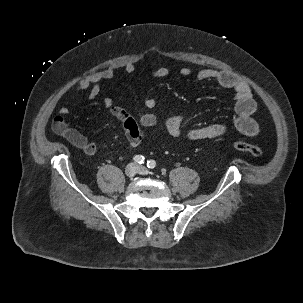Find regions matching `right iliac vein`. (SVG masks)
I'll return each mask as SVG.
<instances>
[{
    "label": "right iliac vein",
    "instance_id": "63e3f726",
    "mask_svg": "<svg viewBox=\"0 0 303 303\" xmlns=\"http://www.w3.org/2000/svg\"><path fill=\"white\" fill-rule=\"evenodd\" d=\"M137 173V167L134 163H130L125 168V174L127 177L132 178Z\"/></svg>",
    "mask_w": 303,
    "mask_h": 303
}]
</instances>
